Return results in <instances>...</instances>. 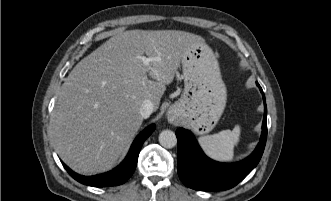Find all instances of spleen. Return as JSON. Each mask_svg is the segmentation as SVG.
Masks as SVG:
<instances>
[{"instance_id": "spleen-1", "label": "spleen", "mask_w": 331, "mask_h": 201, "mask_svg": "<svg viewBox=\"0 0 331 201\" xmlns=\"http://www.w3.org/2000/svg\"><path fill=\"white\" fill-rule=\"evenodd\" d=\"M241 128L236 125L233 130H223L217 134L202 136L198 142L203 151L210 158L220 161L229 162L234 157V147L240 139Z\"/></svg>"}]
</instances>
